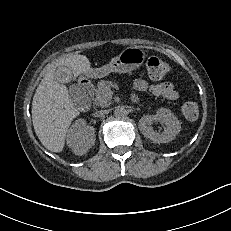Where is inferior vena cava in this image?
Masks as SVG:
<instances>
[{
	"label": "inferior vena cava",
	"mask_w": 231,
	"mask_h": 231,
	"mask_svg": "<svg viewBox=\"0 0 231 231\" xmlns=\"http://www.w3.org/2000/svg\"><path fill=\"white\" fill-rule=\"evenodd\" d=\"M106 114H108V110H100V111L95 112L93 115L95 117H102V116H105Z\"/></svg>",
	"instance_id": "obj_1"
}]
</instances>
